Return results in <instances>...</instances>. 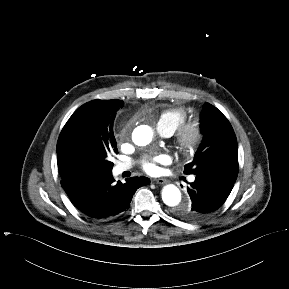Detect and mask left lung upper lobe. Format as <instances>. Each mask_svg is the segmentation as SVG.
<instances>
[{
    "instance_id": "left-lung-upper-lobe-1",
    "label": "left lung upper lobe",
    "mask_w": 289,
    "mask_h": 289,
    "mask_svg": "<svg viewBox=\"0 0 289 289\" xmlns=\"http://www.w3.org/2000/svg\"><path fill=\"white\" fill-rule=\"evenodd\" d=\"M203 141L185 174L214 175L236 181L238 147L235 133L227 118L213 105L205 103L201 112Z\"/></svg>"
}]
</instances>
